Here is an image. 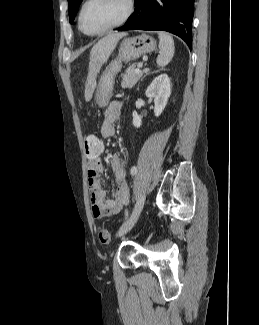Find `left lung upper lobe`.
Wrapping results in <instances>:
<instances>
[{
    "mask_svg": "<svg viewBox=\"0 0 259 325\" xmlns=\"http://www.w3.org/2000/svg\"><path fill=\"white\" fill-rule=\"evenodd\" d=\"M82 0H68L69 3V21L72 23L77 14L78 8Z\"/></svg>",
    "mask_w": 259,
    "mask_h": 325,
    "instance_id": "left-lung-upper-lobe-1",
    "label": "left lung upper lobe"
}]
</instances>
